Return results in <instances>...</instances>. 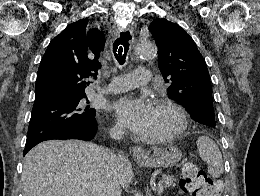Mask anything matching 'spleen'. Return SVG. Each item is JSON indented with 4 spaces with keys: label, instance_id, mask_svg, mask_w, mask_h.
<instances>
[{
    "label": "spleen",
    "instance_id": "3e777b00",
    "mask_svg": "<svg viewBox=\"0 0 260 196\" xmlns=\"http://www.w3.org/2000/svg\"><path fill=\"white\" fill-rule=\"evenodd\" d=\"M196 146L201 160L208 166V174L211 178H220L224 168L222 154L217 144L208 136H200L196 140Z\"/></svg>",
    "mask_w": 260,
    "mask_h": 196
}]
</instances>
